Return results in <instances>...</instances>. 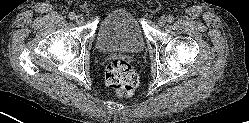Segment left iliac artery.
<instances>
[{"label": "left iliac artery", "mask_w": 249, "mask_h": 123, "mask_svg": "<svg viewBox=\"0 0 249 123\" xmlns=\"http://www.w3.org/2000/svg\"><path fill=\"white\" fill-rule=\"evenodd\" d=\"M167 21H168V23H172L174 21V17L172 15H169L167 17Z\"/></svg>", "instance_id": "1"}]
</instances>
